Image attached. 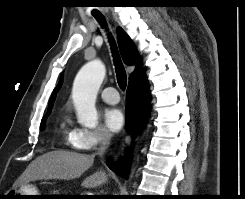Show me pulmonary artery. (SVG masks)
Masks as SVG:
<instances>
[{"instance_id":"pulmonary-artery-1","label":"pulmonary artery","mask_w":245,"mask_h":199,"mask_svg":"<svg viewBox=\"0 0 245 199\" xmlns=\"http://www.w3.org/2000/svg\"><path fill=\"white\" fill-rule=\"evenodd\" d=\"M102 99L109 104H117L120 100V97L113 87H106L101 91Z\"/></svg>"}]
</instances>
